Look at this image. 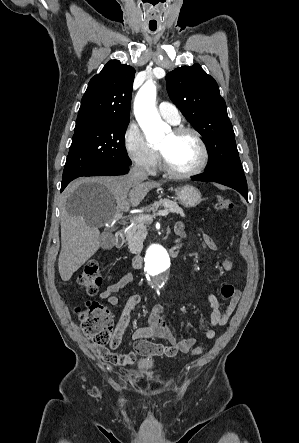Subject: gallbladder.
<instances>
[{"label": "gallbladder", "instance_id": "1", "mask_svg": "<svg viewBox=\"0 0 299 443\" xmlns=\"http://www.w3.org/2000/svg\"><path fill=\"white\" fill-rule=\"evenodd\" d=\"M100 241L103 249H110L114 243V237L110 232H103L100 235Z\"/></svg>", "mask_w": 299, "mask_h": 443}]
</instances>
